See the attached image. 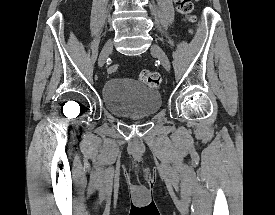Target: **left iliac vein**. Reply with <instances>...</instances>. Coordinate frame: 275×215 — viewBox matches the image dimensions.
I'll list each match as a JSON object with an SVG mask.
<instances>
[{"label": "left iliac vein", "mask_w": 275, "mask_h": 215, "mask_svg": "<svg viewBox=\"0 0 275 215\" xmlns=\"http://www.w3.org/2000/svg\"><path fill=\"white\" fill-rule=\"evenodd\" d=\"M151 52L159 59L162 66L169 71L170 70V62L166 55V53L161 49V47L157 44H153L151 46Z\"/></svg>", "instance_id": "left-iliac-vein-1"}]
</instances>
